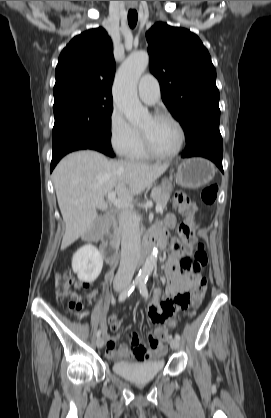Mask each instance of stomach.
Listing matches in <instances>:
<instances>
[{"mask_svg": "<svg viewBox=\"0 0 271 418\" xmlns=\"http://www.w3.org/2000/svg\"><path fill=\"white\" fill-rule=\"evenodd\" d=\"M214 165L204 158H189L177 164L176 182L183 188L195 189L208 184L215 175ZM165 181L162 187H169Z\"/></svg>", "mask_w": 271, "mask_h": 418, "instance_id": "1", "label": "stomach"}]
</instances>
